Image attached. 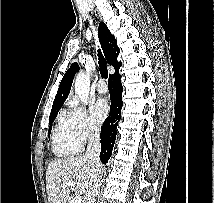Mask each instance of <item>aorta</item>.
I'll use <instances>...</instances> for the list:
<instances>
[{
    "label": "aorta",
    "mask_w": 214,
    "mask_h": 203,
    "mask_svg": "<svg viewBox=\"0 0 214 203\" xmlns=\"http://www.w3.org/2000/svg\"><path fill=\"white\" fill-rule=\"evenodd\" d=\"M74 88L81 102L87 104L90 91V76L86 72L80 71L77 74Z\"/></svg>",
    "instance_id": "1"
}]
</instances>
